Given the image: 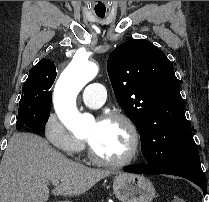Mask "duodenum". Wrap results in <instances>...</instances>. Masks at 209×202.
Segmentation results:
<instances>
[{"mask_svg": "<svg viewBox=\"0 0 209 202\" xmlns=\"http://www.w3.org/2000/svg\"><path fill=\"white\" fill-rule=\"evenodd\" d=\"M59 202H67V201H59Z\"/></svg>", "mask_w": 209, "mask_h": 202, "instance_id": "obj_1", "label": "duodenum"}]
</instances>
